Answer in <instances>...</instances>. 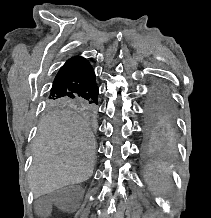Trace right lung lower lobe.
Segmentation results:
<instances>
[{
	"label": "right lung lower lobe",
	"mask_w": 211,
	"mask_h": 218,
	"mask_svg": "<svg viewBox=\"0 0 211 218\" xmlns=\"http://www.w3.org/2000/svg\"><path fill=\"white\" fill-rule=\"evenodd\" d=\"M99 89L90 63L82 57L69 59L57 73L48 97H80L98 103Z\"/></svg>",
	"instance_id": "98d812e1"
}]
</instances>
